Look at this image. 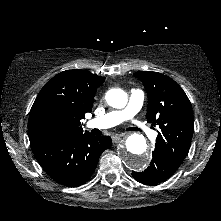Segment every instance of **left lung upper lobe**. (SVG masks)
<instances>
[{"label": "left lung upper lobe", "mask_w": 221, "mask_h": 221, "mask_svg": "<svg viewBox=\"0 0 221 221\" xmlns=\"http://www.w3.org/2000/svg\"><path fill=\"white\" fill-rule=\"evenodd\" d=\"M148 94L146 118L159 125L155 148L179 167L187 156L194 132L191 103L183 89L158 72H135Z\"/></svg>", "instance_id": "1"}]
</instances>
